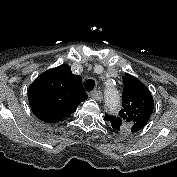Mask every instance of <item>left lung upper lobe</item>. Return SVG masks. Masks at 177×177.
I'll return each mask as SVG.
<instances>
[{"label": "left lung upper lobe", "instance_id": "1", "mask_svg": "<svg viewBox=\"0 0 177 177\" xmlns=\"http://www.w3.org/2000/svg\"><path fill=\"white\" fill-rule=\"evenodd\" d=\"M122 109L118 116L105 115L115 131L139 132L148 122L154 108V101L148 88L135 77H123Z\"/></svg>", "mask_w": 177, "mask_h": 177}]
</instances>
